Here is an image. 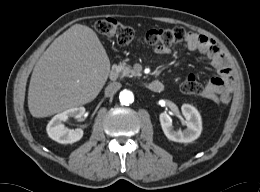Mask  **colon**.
<instances>
[{"label":"colon","instance_id":"5ec220e1","mask_svg":"<svg viewBox=\"0 0 260 192\" xmlns=\"http://www.w3.org/2000/svg\"><path fill=\"white\" fill-rule=\"evenodd\" d=\"M96 30L103 36L114 38L120 45H129L133 42H144L156 47H169L184 41L188 31L183 27L160 28L148 31L144 36H138L135 31L113 18H104L95 24ZM201 85L193 75H189L182 83V91L186 94H199Z\"/></svg>","mask_w":260,"mask_h":192}]
</instances>
